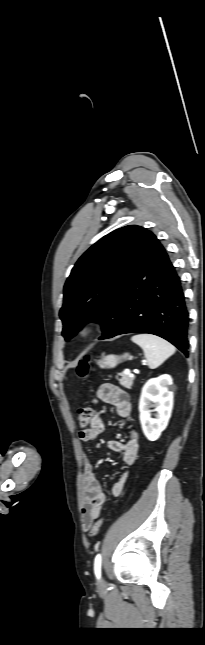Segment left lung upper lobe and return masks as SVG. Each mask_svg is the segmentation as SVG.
Listing matches in <instances>:
<instances>
[{"label": "left lung upper lobe", "instance_id": "5c2ea615", "mask_svg": "<svg viewBox=\"0 0 205 645\" xmlns=\"http://www.w3.org/2000/svg\"><path fill=\"white\" fill-rule=\"evenodd\" d=\"M147 232L140 226L122 227L79 258L65 283L60 310L66 340L90 321L102 325L101 340L117 329L124 288Z\"/></svg>", "mask_w": 205, "mask_h": 645}]
</instances>
